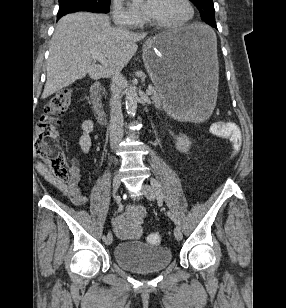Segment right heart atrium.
Here are the masks:
<instances>
[{
    "label": "right heart atrium",
    "instance_id": "d8ad5b80",
    "mask_svg": "<svg viewBox=\"0 0 286 308\" xmlns=\"http://www.w3.org/2000/svg\"><path fill=\"white\" fill-rule=\"evenodd\" d=\"M112 18L117 26L123 28H135L143 23L142 17L127 7L123 0H113Z\"/></svg>",
    "mask_w": 286,
    "mask_h": 308
}]
</instances>
